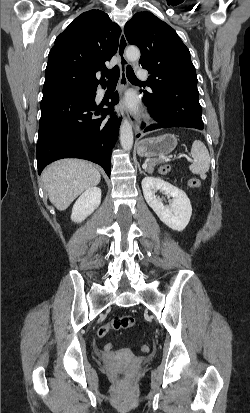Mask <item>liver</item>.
Segmentation results:
<instances>
[{
    "instance_id": "1",
    "label": "liver",
    "mask_w": 250,
    "mask_h": 413,
    "mask_svg": "<svg viewBox=\"0 0 250 413\" xmlns=\"http://www.w3.org/2000/svg\"><path fill=\"white\" fill-rule=\"evenodd\" d=\"M50 202L60 211L85 190L99 184L101 175L97 168L84 160L63 159L48 165L43 173Z\"/></svg>"
}]
</instances>
